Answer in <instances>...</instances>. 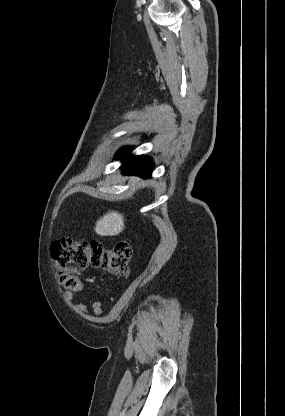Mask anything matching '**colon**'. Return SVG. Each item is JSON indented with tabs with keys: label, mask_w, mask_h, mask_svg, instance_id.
I'll list each match as a JSON object with an SVG mask.
<instances>
[{
	"label": "colon",
	"mask_w": 285,
	"mask_h": 416,
	"mask_svg": "<svg viewBox=\"0 0 285 416\" xmlns=\"http://www.w3.org/2000/svg\"><path fill=\"white\" fill-rule=\"evenodd\" d=\"M51 256L57 264L61 284L68 290L79 291L82 286L79 274L88 267L126 276L132 248L124 241L105 247L95 240L63 238L52 244Z\"/></svg>",
	"instance_id": "5ec220e1"
}]
</instances>
